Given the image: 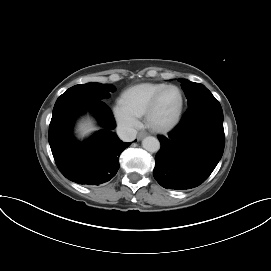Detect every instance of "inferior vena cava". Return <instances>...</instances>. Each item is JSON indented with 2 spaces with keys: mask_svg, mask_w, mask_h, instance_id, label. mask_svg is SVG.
I'll list each match as a JSON object with an SVG mask.
<instances>
[{
  "mask_svg": "<svg viewBox=\"0 0 271 271\" xmlns=\"http://www.w3.org/2000/svg\"><path fill=\"white\" fill-rule=\"evenodd\" d=\"M117 134L124 142H131L136 138L137 131L129 126H118Z\"/></svg>",
  "mask_w": 271,
  "mask_h": 271,
  "instance_id": "1",
  "label": "inferior vena cava"
}]
</instances>
